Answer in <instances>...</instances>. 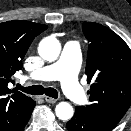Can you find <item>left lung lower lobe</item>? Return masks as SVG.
Here are the masks:
<instances>
[{"instance_id":"0a47b994","label":"left lung lower lobe","mask_w":131,"mask_h":131,"mask_svg":"<svg viewBox=\"0 0 131 131\" xmlns=\"http://www.w3.org/2000/svg\"><path fill=\"white\" fill-rule=\"evenodd\" d=\"M68 131H108L89 113L76 107L73 118L67 122Z\"/></svg>"}]
</instances>
